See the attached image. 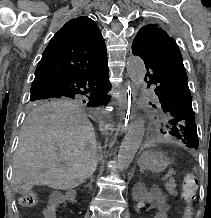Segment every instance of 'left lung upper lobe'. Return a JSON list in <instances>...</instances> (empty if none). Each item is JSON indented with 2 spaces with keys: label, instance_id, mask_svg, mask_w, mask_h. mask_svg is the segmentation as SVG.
I'll use <instances>...</instances> for the list:
<instances>
[{
  "label": "left lung upper lobe",
  "instance_id": "obj_1",
  "mask_svg": "<svg viewBox=\"0 0 211 218\" xmlns=\"http://www.w3.org/2000/svg\"><path fill=\"white\" fill-rule=\"evenodd\" d=\"M132 53L145 63V82L157 96L155 102L149 104L163 127L161 132L197 149L199 142L188 78L175 40L155 24H148L136 35Z\"/></svg>",
  "mask_w": 211,
  "mask_h": 218
}]
</instances>
